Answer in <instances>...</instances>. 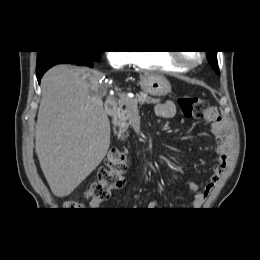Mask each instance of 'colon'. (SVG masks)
I'll return each instance as SVG.
<instances>
[{"label":"colon","instance_id":"obj_1","mask_svg":"<svg viewBox=\"0 0 260 260\" xmlns=\"http://www.w3.org/2000/svg\"><path fill=\"white\" fill-rule=\"evenodd\" d=\"M178 106L187 118H204L206 115H216L217 111L209 107L208 103L197 97H179ZM128 168V161L120 152L110 153L105 165L97 177L88 186L85 196L89 199L105 200L112 190L119 189L125 184L124 174ZM64 207L68 210H82L83 205L77 201H66Z\"/></svg>","mask_w":260,"mask_h":260}]
</instances>
